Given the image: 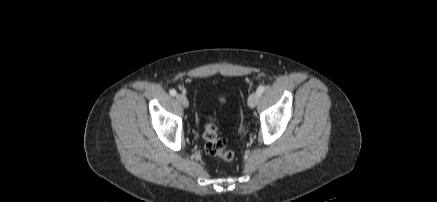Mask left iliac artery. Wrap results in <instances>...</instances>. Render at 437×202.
<instances>
[{
  "instance_id": "obj_1",
  "label": "left iliac artery",
  "mask_w": 437,
  "mask_h": 202,
  "mask_svg": "<svg viewBox=\"0 0 437 202\" xmlns=\"http://www.w3.org/2000/svg\"><path fill=\"white\" fill-rule=\"evenodd\" d=\"M264 91H265V86H263V85H260V86L257 88V94H258L259 96L262 95Z\"/></svg>"
}]
</instances>
